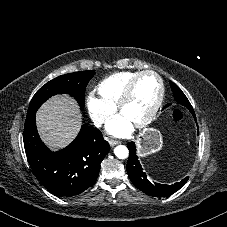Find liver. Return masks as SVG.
Listing matches in <instances>:
<instances>
[{
	"mask_svg": "<svg viewBox=\"0 0 227 227\" xmlns=\"http://www.w3.org/2000/svg\"><path fill=\"white\" fill-rule=\"evenodd\" d=\"M82 121L77 103L67 95L46 101L37 112V127L42 140L52 150L66 147L77 136Z\"/></svg>",
	"mask_w": 227,
	"mask_h": 227,
	"instance_id": "obj_1",
	"label": "liver"
}]
</instances>
